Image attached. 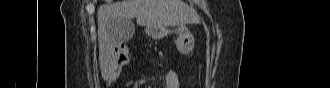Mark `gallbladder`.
I'll use <instances>...</instances> for the list:
<instances>
[{
  "mask_svg": "<svg viewBox=\"0 0 330 88\" xmlns=\"http://www.w3.org/2000/svg\"><path fill=\"white\" fill-rule=\"evenodd\" d=\"M115 32L118 34L119 42H127L132 38L135 32V26L132 21L116 23Z\"/></svg>",
  "mask_w": 330,
  "mask_h": 88,
  "instance_id": "1",
  "label": "gallbladder"
}]
</instances>
